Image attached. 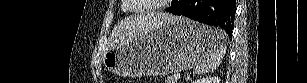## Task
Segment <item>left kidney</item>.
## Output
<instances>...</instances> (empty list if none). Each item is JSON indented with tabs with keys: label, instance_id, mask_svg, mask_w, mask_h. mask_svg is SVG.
I'll use <instances>...</instances> for the list:
<instances>
[{
	"label": "left kidney",
	"instance_id": "5707ae66",
	"mask_svg": "<svg viewBox=\"0 0 307 83\" xmlns=\"http://www.w3.org/2000/svg\"><path fill=\"white\" fill-rule=\"evenodd\" d=\"M192 83H221L220 78L212 76L206 78H200L198 80L193 81Z\"/></svg>",
	"mask_w": 307,
	"mask_h": 83
}]
</instances>
